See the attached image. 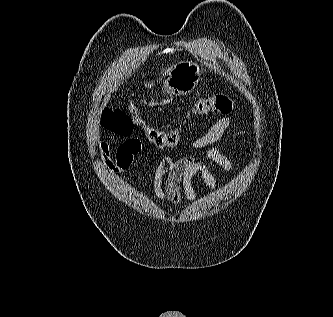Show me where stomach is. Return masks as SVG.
I'll return each mask as SVG.
<instances>
[{
    "label": "stomach",
    "mask_w": 333,
    "mask_h": 317,
    "mask_svg": "<svg viewBox=\"0 0 333 317\" xmlns=\"http://www.w3.org/2000/svg\"><path fill=\"white\" fill-rule=\"evenodd\" d=\"M199 66L191 61H182L174 65L163 82L167 93L182 96L190 93L198 84Z\"/></svg>",
    "instance_id": "obj_1"
}]
</instances>
